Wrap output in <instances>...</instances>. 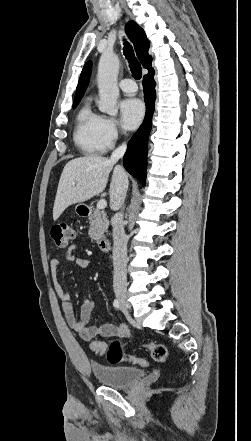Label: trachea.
<instances>
[{
	"instance_id": "trachea-1",
	"label": "trachea",
	"mask_w": 251,
	"mask_h": 441,
	"mask_svg": "<svg viewBox=\"0 0 251 441\" xmlns=\"http://www.w3.org/2000/svg\"><path fill=\"white\" fill-rule=\"evenodd\" d=\"M124 55L126 56V59L128 60L130 71L132 73V76L139 80L142 77V68L140 63L137 61V59L134 56L133 48L128 42H124Z\"/></svg>"
}]
</instances>
